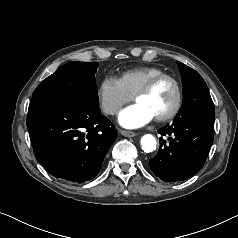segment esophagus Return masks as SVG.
I'll use <instances>...</instances> for the list:
<instances>
[{"label": "esophagus", "mask_w": 238, "mask_h": 238, "mask_svg": "<svg viewBox=\"0 0 238 238\" xmlns=\"http://www.w3.org/2000/svg\"><path fill=\"white\" fill-rule=\"evenodd\" d=\"M120 133L125 137H134L136 135L135 132L127 131V130H120Z\"/></svg>", "instance_id": "obj_1"}]
</instances>
